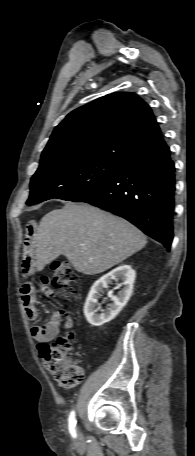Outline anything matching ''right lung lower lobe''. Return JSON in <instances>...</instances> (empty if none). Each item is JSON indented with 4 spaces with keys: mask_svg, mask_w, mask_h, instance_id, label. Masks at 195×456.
Wrapping results in <instances>:
<instances>
[{
    "mask_svg": "<svg viewBox=\"0 0 195 456\" xmlns=\"http://www.w3.org/2000/svg\"><path fill=\"white\" fill-rule=\"evenodd\" d=\"M163 148L132 158L94 190L74 199L121 216L169 251L173 239L175 167Z\"/></svg>",
    "mask_w": 195,
    "mask_h": 456,
    "instance_id": "98d812e1",
    "label": "right lung lower lobe"
}]
</instances>
